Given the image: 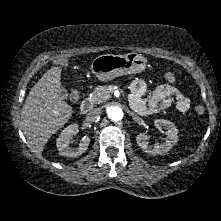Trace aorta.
<instances>
[{
    "label": "aorta",
    "instance_id": "762f6f07",
    "mask_svg": "<svg viewBox=\"0 0 221 221\" xmlns=\"http://www.w3.org/2000/svg\"><path fill=\"white\" fill-rule=\"evenodd\" d=\"M109 119L118 122L123 118V110L119 106H111L107 110Z\"/></svg>",
    "mask_w": 221,
    "mask_h": 221
}]
</instances>
